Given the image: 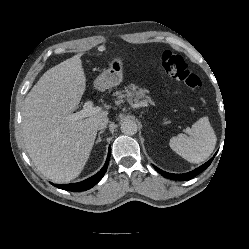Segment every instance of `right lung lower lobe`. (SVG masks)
<instances>
[{"mask_svg": "<svg viewBox=\"0 0 249 249\" xmlns=\"http://www.w3.org/2000/svg\"><path fill=\"white\" fill-rule=\"evenodd\" d=\"M109 159H110V149L108 152L107 160H106L104 166L102 167V169L97 174H95L94 176H92L84 181H81L78 183H72V184H60V185L53 184V183H51V184H53L54 186H56L60 189L68 190V191L88 190V189L92 188L95 184H97L102 179V177L104 176V174L107 170V167L109 164Z\"/></svg>", "mask_w": 249, "mask_h": 249, "instance_id": "1", "label": "right lung lower lobe"}]
</instances>
